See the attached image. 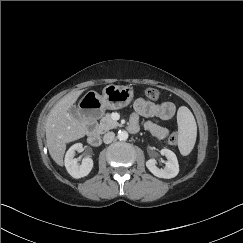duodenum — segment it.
Masks as SVG:
<instances>
[{"instance_id":"1","label":"duodenum","mask_w":243,"mask_h":243,"mask_svg":"<svg viewBox=\"0 0 243 243\" xmlns=\"http://www.w3.org/2000/svg\"><path fill=\"white\" fill-rule=\"evenodd\" d=\"M87 128V141L90 145L97 147L101 145L102 140L96 129V124L94 122H88L86 124Z\"/></svg>"}]
</instances>
